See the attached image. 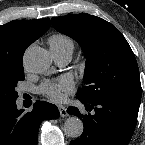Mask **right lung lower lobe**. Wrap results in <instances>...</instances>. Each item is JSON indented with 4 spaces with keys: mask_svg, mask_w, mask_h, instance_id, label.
Segmentation results:
<instances>
[{
    "mask_svg": "<svg viewBox=\"0 0 145 145\" xmlns=\"http://www.w3.org/2000/svg\"><path fill=\"white\" fill-rule=\"evenodd\" d=\"M59 115L58 108L45 101L38 100L27 113L17 109L16 101L0 102V145H37L40 123Z\"/></svg>",
    "mask_w": 145,
    "mask_h": 145,
    "instance_id": "right-lung-lower-lobe-1",
    "label": "right lung lower lobe"
}]
</instances>
